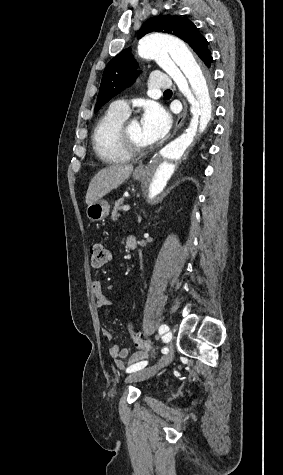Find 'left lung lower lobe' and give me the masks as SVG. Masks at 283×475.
Segmentation results:
<instances>
[{
  "label": "left lung lower lobe",
  "instance_id": "0a47b994",
  "mask_svg": "<svg viewBox=\"0 0 283 475\" xmlns=\"http://www.w3.org/2000/svg\"><path fill=\"white\" fill-rule=\"evenodd\" d=\"M211 62H212V57H211L210 51L208 50L206 52V57H205L204 63L206 64L207 67H210Z\"/></svg>",
  "mask_w": 283,
  "mask_h": 475
}]
</instances>
